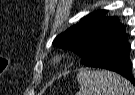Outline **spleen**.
Returning <instances> with one entry per match:
<instances>
[{"label": "spleen", "mask_w": 135, "mask_h": 95, "mask_svg": "<svg viewBox=\"0 0 135 95\" xmlns=\"http://www.w3.org/2000/svg\"><path fill=\"white\" fill-rule=\"evenodd\" d=\"M77 80L80 85L77 95H135L128 80L106 70H81Z\"/></svg>", "instance_id": "obj_1"}]
</instances>
